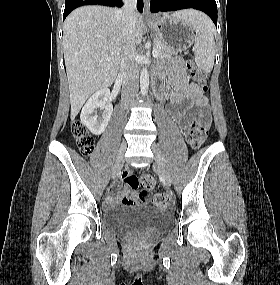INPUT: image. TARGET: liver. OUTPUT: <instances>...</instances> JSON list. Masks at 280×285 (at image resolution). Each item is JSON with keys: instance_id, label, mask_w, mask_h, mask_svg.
I'll return each instance as SVG.
<instances>
[{"instance_id": "6515ba94", "label": "liver", "mask_w": 280, "mask_h": 285, "mask_svg": "<svg viewBox=\"0 0 280 285\" xmlns=\"http://www.w3.org/2000/svg\"><path fill=\"white\" fill-rule=\"evenodd\" d=\"M121 10L102 6L75 9L63 27V52L69 84L71 120L96 91L115 81L125 36ZM144 24L135 14V44L143 39ZM106 58H110L109 61Z\"/></svg>"}]
</instances>
